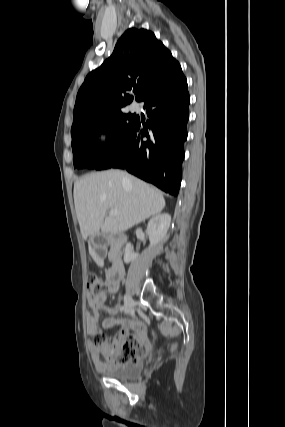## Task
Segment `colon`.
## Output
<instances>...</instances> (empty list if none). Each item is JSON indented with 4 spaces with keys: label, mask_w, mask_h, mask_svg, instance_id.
<instances>
[{
    "label": "colon",
    "mask_w": 285,
    "mask_h": 427,
    "mask_svg": "<svg viewBox=\"0 0 285 427\" xmlns=\"http://www.w3.org/2000/svg\"><path fill=\"white\" fill-rule=\"evenodd\" d=\"M87 289L92 295H98L106 290L105 282L93 272L87 274ZM95 342L104 350L105 354L110 349L109 343L104 336H96ZM146 351V347L142 345L136 336H132L123 345L117 361L120 363L136 362Z\"/></svg>",
    "instance_id": "obj_1"
}]
</instances>
